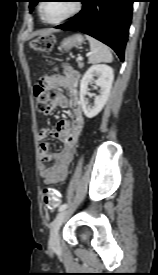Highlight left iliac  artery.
Here are the masks:
<instances>
[{
    "instance_id": "obj_1",
    "label": "left iliac artery",
    "mask_w": 158,
    "mask_h": 275,
    "mask_svg": "<svg viewBox=\"0 0 158 275\" xmlns=\"http://www.w3.org/2000/svg\"><path fill=\"white\" fill-rule=\"evenodd\" d=\"M68 207V204H66V203H64V204H62L60 207H59V211H63V210H65L66 208Z\"/></svg>"
}]
</instances>
